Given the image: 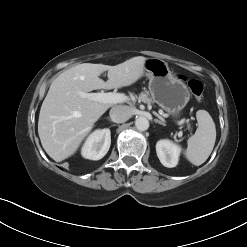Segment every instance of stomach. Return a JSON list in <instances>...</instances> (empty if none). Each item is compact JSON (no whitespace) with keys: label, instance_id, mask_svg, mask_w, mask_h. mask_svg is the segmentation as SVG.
<instances>
[{"label":"stomach","instance_id":"stomach-1","mask_svg":"<svg viewBox=\"0 0 247 247\" xmlns=\"http://www.w3.org/2000/svg\"><path fill=\"white\" fill-rule=\"evenodd\" d=\"M144 74L149 79V92L155 103L174 118H178L190 99L187 86L157 58L146 59Z\"/></svg>","mask_w":247,"mask_h":247}]
</instances>
